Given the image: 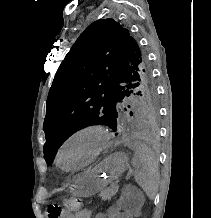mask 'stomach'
Masks as SVG:
<instances>
[{
    "mask_svg": "<svg viewBox=\"0 0 211 218\" xmlns=\"http://www.w3.org/2000/svg\"><path fill=\"white\" fill-rule=\"evenodd\" d=\"M129 159L123 152H116L92 170L78 175L74 180V194L80 197L94 195L117 179L127 168Z\"/></svg>",
    "mask_w": 211,
    "mask_h": 218,
    "instance_id": "stomach-1",
    "label": "stomach"
}]
</instances>
